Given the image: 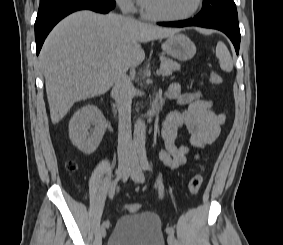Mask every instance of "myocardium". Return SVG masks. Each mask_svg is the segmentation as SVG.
Segmentation results:
<instances>
[{
	"label": "myocardium",
	"mask_w": 283,
	"mask_h": 245,
	"mask_svg": "<svg viewBox=\"0 0 283 245\" xmlns=\"http://www.w3.org/2000/svg\"><path fill=\"white\" fill-rule=\"evenodd\" d=\"M202 4H203V0H196L193 8L183 15L163 16V15H157V14H153L149 12L145 8L143 2H141V12H142V15L149 20L161 21V22H178V21L187 20L191 18L192 16H194L200 10V8L202 7Z\"/></svg>",
	"instance_id": "f54148a6"
}]
</instances>
